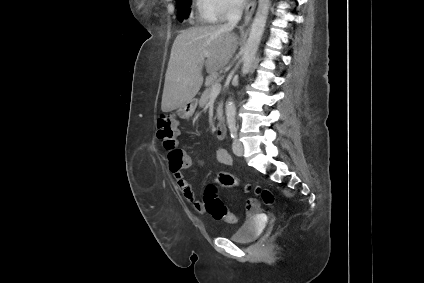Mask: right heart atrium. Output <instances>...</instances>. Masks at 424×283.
I'll list each match as a JSON object with an SVG mask.
<instances>
[{
  "mask_svg": "<svg viewBox=\"0 0 424 283\" xmlns=\"http://www.w3.org/2000/svg\"><path fill=\"white\" fill-rule=\"evenodd\" d=\"M201 18L205 20H222L236 13L240 0H195Z\"/></svg>",
  "mask_w": 424,
  "mask_h": 283,
  "instance_id": "right-heart-atrium-1",
  "label": "right heart atrium"
}]
</instances>
